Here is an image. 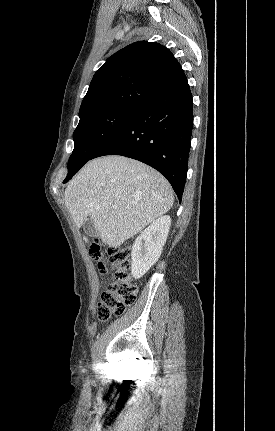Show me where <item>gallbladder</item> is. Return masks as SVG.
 I'll return each instance as SVG.
<instances>
[{"label": "gallbladder", "mask_w": 275, "mask_h": 431, "mask_svg": "<svg viewBox=\"0 0 275 431\" xmlns=\"http://www.w3.org/2000/svg\"><path fill=\"white\" fill-rule=\"evenodd\" d=\"M83 229L85 233L91 237H96L98 235V231L94 226L93 221L90 217H88L83 223Z\"/></svg>", "instance_id": "obj_1"}]
</instances>
